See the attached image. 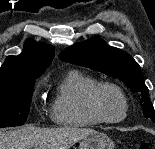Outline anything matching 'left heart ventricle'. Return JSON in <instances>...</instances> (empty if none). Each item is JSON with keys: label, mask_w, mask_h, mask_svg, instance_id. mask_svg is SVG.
Returning <instances> with one entry per match:
<instances>
[{"label": "left heart ventricle", "mask_w": 155, "mask_h": 149, "mask_svg": "<svg viewBox=\"0 0 155 149\" xmlns=\"http://www.w3.org/2000/svg\"><path fill=\"white\" fill-rule=\"evenodd\" d=\"M98 105L101 112L110 119L122 116L124 104L120 95L111 88H104L98 94Z\"/></svg>", "instance_id": "obj_1"}]
</instances>
